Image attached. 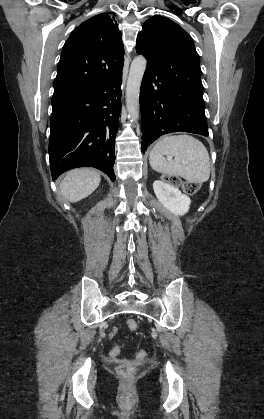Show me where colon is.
Segmentation results:
<instances>
[{"label":"colon","instance_id":"obj_1","mask_svg":"<svg viewBox=\"0 0 264 419\" xmlns=\"http://www.w3.org/2000/svg\"><path fill=\"white\" fill-rule=\"evenodd\" d=\"M164 180L172 185L181 186L183 191L188 194H194L199 189L198 183L191 181H182L180 178L176 176L166 175L164 177ZM127 325L130 330H136L138 328V322L134 319L128 320ZM146 355L147 353L145 350H138L136 352V356L138 358H145ZM117 370L118 373L124 377H130L134 372V368L128 363H123L119 365Z\"/></svg>","mask_w":264,"mask_h":419}]
</instances>
